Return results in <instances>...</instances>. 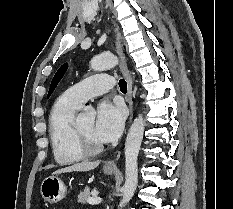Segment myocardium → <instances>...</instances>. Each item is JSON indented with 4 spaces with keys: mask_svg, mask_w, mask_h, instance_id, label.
Listing matches in <instances>:
<instances>
[{
    "mask_svg": "<svg viewBox=\"0 0 233 209\" xmlns=\"http://www.w3.org/2000/svg\"><path fill=\"white\" fill-rule=\"evenodd\" d=\"M74 140L76 147L84 156H95L103 151V145L92 144L81 132L78 124L74 123Z\"/></svg>",
    "mask_w": 233,
    "mask_h": 209,
    "instance_id": "obj_1",
    "label": "myocardium"
}]
</instances>
